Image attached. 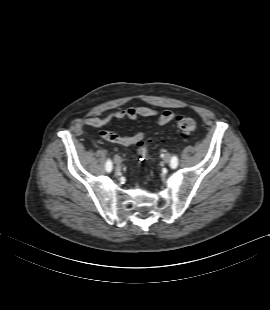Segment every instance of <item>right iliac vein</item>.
Returning <instances> with one entry per match:
<instances>
[{"instance_id":"1","label":"right iliac vein","mask_w":270,"mask_h":310,"mask_svg":"<svg viewBox=\"0 0 270 310\" xmlns=\"http://www.w3.org/2000/svg\"><path fill=\"white\" fill-rule=\"evenodd\" d=\"M121 162H122V160H121L120 156H118V155L114 156V163L116 165H120Z\"/></svg>"}]
</instances>
